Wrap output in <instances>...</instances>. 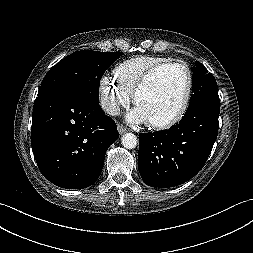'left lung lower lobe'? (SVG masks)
Returning <instances> with one entry per match:
<instances>
[{
  "instance_id": "0a47b994",
  "label": "left lung lower lobe",
  "mask_w": 253,
  "mask_h": 253,
  "mask_svg": "<svg viewBox=\"0 0 253 253\" xmlns=\"http://www.w3.org/2000/svg\"><path fill=\"white\" fill-rule=\"evenodd\" d=\"M220 102L202 101L169 129L139 136L138 168L148 186L174 187L204 166L218 133Z\"/></svg>"
}]
</instances>
